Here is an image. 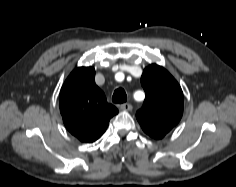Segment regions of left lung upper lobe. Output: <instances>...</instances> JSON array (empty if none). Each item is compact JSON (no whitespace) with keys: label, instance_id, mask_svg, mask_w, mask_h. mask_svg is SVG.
<instances>
[{"label":"left lung upper lobe","instance_id":"obj_1","mask_svg":"<svg viewBox=\"0 0 236 187\" xmlns=\"http://www.w3.org/2000/svg\"><path fill=\"white\" fill-rule=\"evenodd\" d=\"M141 84L146 96L136 118L146 134L161 139L182 117V89L166 69L156 64L144 69Z\"/></svg>","mask_w":236,"mask_h":187}]
</instances>
